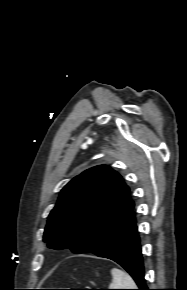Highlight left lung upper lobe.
I'll return each instance as SVG.
<instances>
[{
  "label": "left lung upper lobe",
  "mask_w": 187,
  "mask_h": 290,
  "mask_svg": "<svg viewBox=\"0 0 187 290\" xmlns=\"http://www.w3.org/2000/svg\"><path fill=\"white\" fill-rule=\"evenodd\" d=\"M133 204L120 174L106 165L90 168L61 190L48 216L43 240L50 248L92 253Z\"/></svg>",
  "instance_id": "1"
}]
</instances>
